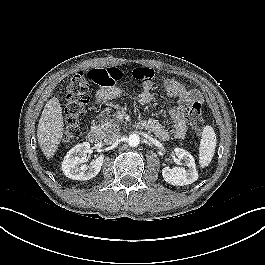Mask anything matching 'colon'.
I'll list each match as a JSON object with an SVG mask.
<instances>
[{
	"label": "colon",
	"instance_id": "colon-1",
	"mask_svg": "<svg viewBox=\"0 0 265 265\" xmlns=\"http://www.w3.org/2000/svg\"><path fill=\"white\" fill-rule=\"evenodd\" d=\"M148 72L152 74L151 70ZM133 77L143 81L145 74L141 69L133 71ZM120 79L116 69H94L87 74L80 72L74 75L64 89L65 130L63 141L71 143L81 134V123L85 106L89 101V85L94 83L101 86L114 85ZM187 121L193 131L199 134L204 126L203 108L199 100L194 101L188 112Z\"/></svg>",
	"mask_w": 265,
	"mask_h": 265
}]
</instances>
